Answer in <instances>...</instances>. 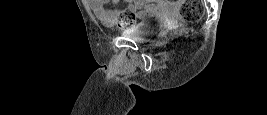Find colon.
<instances>
[{"instance_id": "obj_1", "label": "colon", "mask_w": 267, "mask_h": 115, "mask_svg": "<svg viewBox=\"0 0 267 115\" xmlns=\"http://www.w3.org/2000/svg\"><path fill=\"white\" fill-rule=\"evenodd\" d=\"M172 2L180 6L181 17L187 23H194L203 15L204 7L200 0H174ZM115 12L120 23L131 22L136 17V9L132 6L117 9Z\"/></svg>"}]
</instances>
